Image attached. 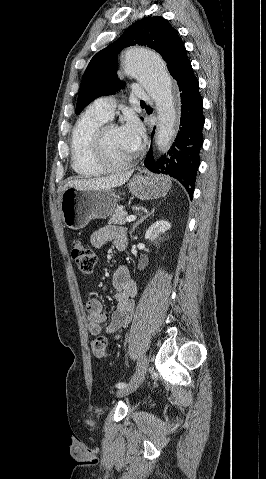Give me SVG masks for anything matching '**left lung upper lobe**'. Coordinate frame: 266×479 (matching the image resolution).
<instances>
[{"mask_svg": "<svg viewBox=\"0 0 266 479\" xmlns=\"http://www.w3.org/2000/svg\"><path fill=\"white\" fill-rule=\"evenodd\" d=\"M144 45L157 51L166 61L173 78L189 61L185 46L163 17H146L132 24L115 42L99 51L88 64L76 105L79 114L94 99L116 93L124 83L117 77L118 53L125 47Z\"/></svg>", "mask_w": 266, "mask_h": 479, "instance_id": "5c2ea615", "label": "left lung upper lobe"}]
</instances>
